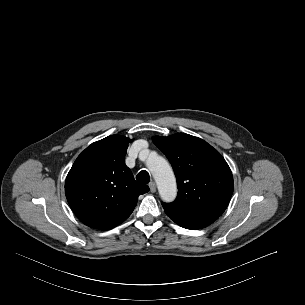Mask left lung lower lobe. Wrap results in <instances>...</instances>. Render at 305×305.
Segmentation results:
<instances>
[{"label":"left lung lower lobe","instance_id":"left-lung-lower-lobe-1","mask_svg":"<svg viewBox=\"0 0 305 305\" xmlns=\"http://www.w3.org/2000/svg\"><path fill=\"white\" fill-rule=\"evenodd\" d=\"M166 214L178 225L192 230L204 228L218 219V217H188L168 212Z\"/></svg>","mask_w":305,"mask_h":305}]
</instances>
